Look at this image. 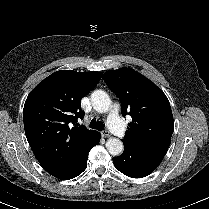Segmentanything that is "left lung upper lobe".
Listing matches in <instances>:
<instances>
[{"label":"left lung upper lobe","mask_w":209,"mask_h":209,"mask_svg":"<svg viewBox=\"0 0 209 209\" xmlns=\"http://www.w3.org/2000/svg\"><path fill=\"white\" fill-rule=\"evenodd\" d=\"M103 79L119 97L122 115L132 117L123 143L165 155L171 142L174 121L164 92L131 68L108 71Z\"/></svg>","instance_id":"obj_1"}]
</instances>
